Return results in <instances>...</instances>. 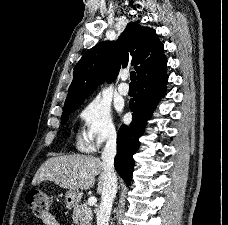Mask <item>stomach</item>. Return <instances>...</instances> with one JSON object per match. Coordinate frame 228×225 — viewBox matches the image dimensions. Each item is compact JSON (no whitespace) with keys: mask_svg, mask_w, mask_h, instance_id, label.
Here are the masks:
<instances>
[{"mask_svg":"<svg viewBox=\"0 0 228 225\" xmlns=\"http://www.w3.org/2000/svg\"><path fill=\"white\" fill-rule=\"evenodd\" d=\"M81 199V193L79 191H67L65 195L66 207H75Z\"/></svg>","mask_w":228,"mask_h":225,"instance_id":"stomach-1","label":"stomach"}]
</instances>
